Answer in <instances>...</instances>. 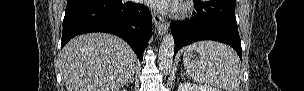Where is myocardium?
<instances>
[{
  "label": "myocardium",
  "instance_id": "obj_1",
  "mask_svg": "<svg viewBox=\"0 0 304 91\" xmlns=\"http://www.w3.org/2000/svg\"><path fill=\"white\" fill-rule=\"evenodd\" d=\"M189 9V6L188 5H181L180 8H179V12L180 13H185L187 12Z\"/></svg>",
  "mask_w": 304,
  "mask_h": 91
}]
</instances>
